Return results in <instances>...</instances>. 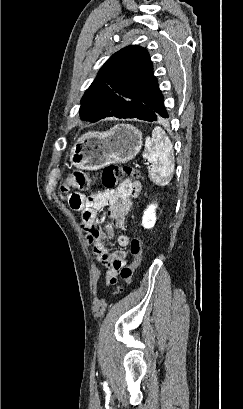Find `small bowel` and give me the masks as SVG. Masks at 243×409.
I'll list each match as a JSON object with an SVG mask.
<instances>
[{"label": "small bowel", "mask_w": 243, "mask_h": 409, "mask_svg": "<svg viewBox=\"0 0 243 409\" xmlns=\"http://www.w3.org/2000/svg\"><path fill=\"white\" fill-rule=\"evenodd\" d=\"M141 192L140 182L124 181L113 190H104L84 195L75 193L78 200L77 206H71L74 210L81 211V227L86 233L88 242L93 245V252L98 261L106 267V285L117 283L119 271L128 263L127 254L124 250H111L106 241L114 236V229H122L125 218L132 205V199ZM107 207L106 217L109 223L104 231L100 226L97 211ZM117 242L121 247L130 244V238L126 234H119Z\"/></svg>", "instance_id": "obj_1"}]
</instances>
